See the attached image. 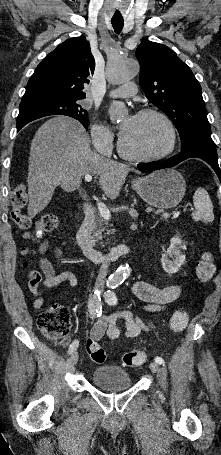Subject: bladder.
<instances>
[{"mask_svg":"<svg viewBox=\"0 0 221 455\" xmlns=\"http://www.w3.org/2000/svg\"><path fill=\"white\" fill-rule=\"evenodd\" d=\"M92 383L105 391H117L131 387L129 373L122 367L107 365L94 368L90 372Z\"/></svg>","mask_w":221,"mask_h":455,"instance_id":"1","label":"bladder"}]
</instances>
